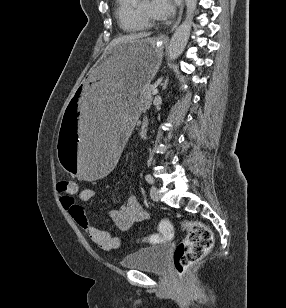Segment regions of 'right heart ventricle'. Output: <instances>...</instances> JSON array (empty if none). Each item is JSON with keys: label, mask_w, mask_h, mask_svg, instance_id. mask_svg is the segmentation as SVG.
<instances>
[{"label": "right heart ventricle", "mask_w": 286, "mask_h": 308, "mask_svg": "<svg viewBox=\"0 0 286 308\" xmlns=\"http://www.w3.org/2000/svg\"><path fill=\"white\" fill-rule=\"evenodd\" d=\"M134 0H116L115 16L120 28L126 33L143 32L148 28L137 15Z\"/></svg>", "instance_id": "right-heart-ventricle-1"}]
</instances>
